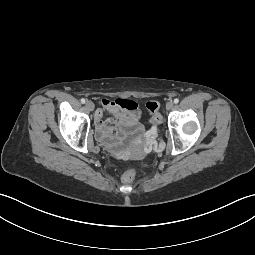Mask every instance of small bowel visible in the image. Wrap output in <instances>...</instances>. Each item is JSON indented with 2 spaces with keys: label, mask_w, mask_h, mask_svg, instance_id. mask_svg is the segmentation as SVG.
Masks as SVG:
<instances>
[{
  "label": "small bowel",
  "mask_w": 255,
  "mask_h": 255,
  "mask_svg": "<svg viewBox=\"0 0 255 255\" xmlns=\"http://www.w3.org/2000/svg\"><path fill=\"white\" fill-rule=\"evenodd\" d=\"M111 115L105 118V115ZM97 137L108 146H116L130 131L139 130L138 105L129 99H102L95 114Z\"/></svg>",
  "instance_id": "c3829d8e"
}]
</instances>
